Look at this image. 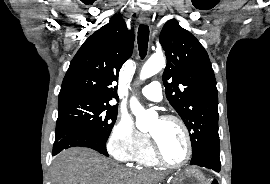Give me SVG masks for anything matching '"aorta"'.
<instances>
[{
  "mask_svg": "<svg viewBox=\"0 0 270 184\" xmlns=\"http://www.w3.org/2000/svg\"><path fill=\"white\" fill-rule=\"evenodd\" d=\"M165 65V58L162 53L153 54L143 65L140 72V79L145 80L162 70ZM130 108L136 116V126L139 130H148L151 122L157 117L156 112L145 110L136 98H131Z\"/></svg>",
  "mask_w": 270,
  "mask_h": 184,
  "instance_id": "obj_1",
  "label": "aorta"
}]
</instances>
